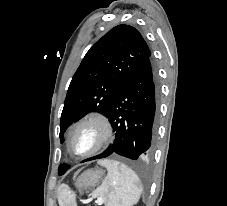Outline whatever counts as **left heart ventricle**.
Instances as JSON below:
<instances>
[{"label":"left heart ventricle","mask_w":227,"mask_h":206,"mask_svg":"<svg viewBox=\"0 0 227 206\" xmlns=\"http://www.w3.org/2000/svg\"><path fill=\"white\" fill-rule=\"evenodd\" d=\"M98 131L92 126L88 125L81 128L72 138V147L74 151L83 153L91 149L97 141Z\"/></svg>","instance_id":"1"}]
</instances>
